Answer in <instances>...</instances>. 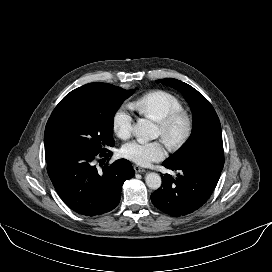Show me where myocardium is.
<instances>
[{"mask_svg":"<svg viewBox=\"0 0 272 272\" xmlns=\"http://www.w3.org/2000/svg\"><path fill=\"white\" fill-rule=\"evenodd\" d=\"M178 124H182V132L172 136V130ZM158 126L162 131V138L170 150H176L183 146L190 138L193 131V120L189 113L184 110H176L158 121Z\"/></svg>","mask_w":272,"mask_h":272,"instance_id":"myocardium-1","label":"myocardium"}]
</instances>
